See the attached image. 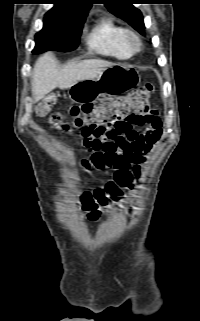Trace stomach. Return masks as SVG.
Masks as SVG:
<instances>
[{"instance_id": "stomach-1", "label": "stomach", "mask_w": 200, "mask_h": 321, "mask_svg": "<svg viewBox=\"0 0 200 321\" xmlns=\"http://www.w3.org/2000/svg\"><path fill=\"white\" fill-rule=\"evenodd\" d=\"M139 81L140 76L134 68L115 64L105 69L98 77L73 85L69 90V97L75 103H91L101 94L125 93Z\"/></svg>"}]
</instances>
